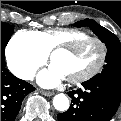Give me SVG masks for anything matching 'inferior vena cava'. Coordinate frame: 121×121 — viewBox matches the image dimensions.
<instances>
[{"label":"inferior vena cava","instance_id":"602c4592","mask_svg":"<svg viewBox=\"0 0 121 121\" xmlns=\"http://www.w3.org/2000/svg\"><path fill=\"white\" fill-rule=\"evenodd\" d=\"M26 79H31L32 75L25 76Z\"/></svg>","mask_w":121,"mask_h":121}]
</instances>
